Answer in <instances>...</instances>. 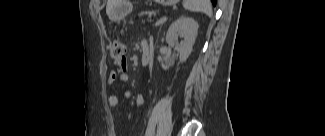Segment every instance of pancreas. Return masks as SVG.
Segmentation results:
<instances>
[{"label": "pancreas", "mask_w": 325, "mask_h": 136, "mask_svg": "<svg viewBox=\"0 0 325 136\" xmlns=\"http://www.w3.org/2000/svg\"><path fill=\"white\" fill-rule=\"evenodd\" d=\"M156 10L152 9L151 5H143L141 12H135L134 18L137 19L139 24H155L156 18L155 17H148V16H155Z\"/></svg>", "instance_id": "cf45deb5"}]
</instances>
